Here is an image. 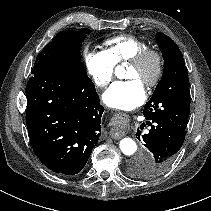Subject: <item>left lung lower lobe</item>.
Here are the masks:
<instances>
[{"mask_svg": "<svg viewBox=\"0 0 211 211\" xmlns=\"http://www.w3.org/2000/svg\"><path fill=\"white\" fill-rule=\"evenodd\" d=\"M151 126L148 134L141 135L137 130L136 137L151 152L150 158L136 157L130 163L140 178H154L164 173L173 163L183 145L186 130L177 123L163 118L148 120Z\"/></svg>", "mask_w": 211, "mask_h": 211, "instance_id": "1", "label": "left lung lower lobe"}]
</instances>
